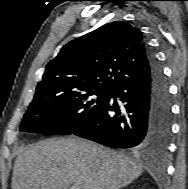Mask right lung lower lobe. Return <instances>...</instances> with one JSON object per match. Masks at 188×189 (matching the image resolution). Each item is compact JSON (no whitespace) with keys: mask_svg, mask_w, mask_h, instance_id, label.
<instances>
[{"mask_svg":"<svg viewBox=\"0 0 188 189\" xmlns=\"http://www.w3.org/2000/svg\"><path fill=\"white\" fill-rule=\"evenodd\" d=\"M148 62L147 75L113 88L91 118L73 134L112 148L149 147L164 153L171 135L169 88L150 50Z\"/></svg>","mask_w":188,"mask_h":189,"instance_id":"right-lung-lower-lobe-1","label":"right lung lower lobe"}]
</instances>
